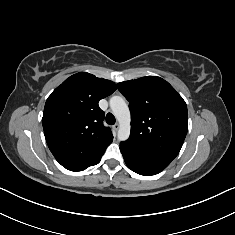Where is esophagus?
<instances>
[{
	"label": "esophagus",
	"mask_w": 235,
	"mask_h": 235,
	"mask_svg": "<svg viewBox=\"0 0 235 235\" xmlns=\"http://www.w3.org/2000/svg\"><path fill=\"white\" fill-rule=\"evenodd\" d=\"M119 127H120V125H119L118 123H116V124L113 126V129H114L115 131H117V130L119 129Z\"/></svg>",
	"instance_id": "obj_1"
}]
</instances>
